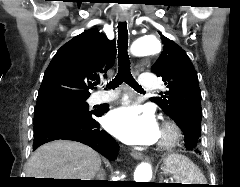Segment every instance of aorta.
Here are the masks:
<instances>
[{
	"label": "aorta",
	"instance_id": "obj_1",
	"mask_svg": "<svg viewBox=\"0 0 240 187\" xmlns=\"http://www.w3.org/2000/svg\"><path fill=\"white\" fill-rule=\"evenodd\" d=\"M132 54L135 56H148L161 51L159 40L153 35L137 38L132 45ZM152 178V168L148 163H140L134 172V182H149Z\"/></svg>",
	"mask_w": 240,
	"mask_h": 187
}]
</instances>
